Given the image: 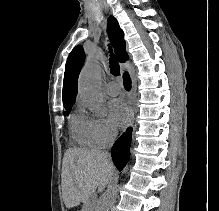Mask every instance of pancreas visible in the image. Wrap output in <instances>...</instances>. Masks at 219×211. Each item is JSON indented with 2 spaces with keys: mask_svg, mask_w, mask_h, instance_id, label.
<instances>
[{
  "mask_svg": "<svg viewBox=\"0 0 219 211\" xmlns=\"http://www.w3.org/2000/svg\"><path fill=\"white\" fill-rule=\"evenodd\" d=\"M86 211H99L100 205L95 200H85Z\"/></svg>",
  "mask_w": 219,
  "mask_h": 211,
  "instance_id": "1",
  "label": "pancreas"
}]
</instances>
